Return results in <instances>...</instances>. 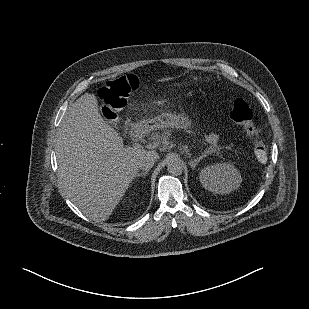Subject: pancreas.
<instances>
[{
    "label": "pancreas",
    "mask_w": 309,
    "mask_h": 309,
    "mask_svg": "<svg viewBox=\"0 0 309 309\" xmlns=\"http://www.w3.org/2000/svg\"><path fill=\"white\" fill-rule=\"evenodd\" d=\"M168 138V134L167 133H163V134H155L153 135V139L159 142H162L163 140Z\"/></svg>",
    "instance_id": "pancreas-1"
}]
</instances>
